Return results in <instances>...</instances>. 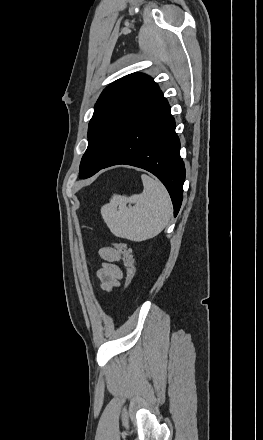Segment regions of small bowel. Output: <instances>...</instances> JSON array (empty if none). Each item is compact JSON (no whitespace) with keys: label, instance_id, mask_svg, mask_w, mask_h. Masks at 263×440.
Wrapping results in <instances>:
<instances>
[{"label":"small bowel","instance_id":"1","mask_svg":"<svg viewBox=\"0 0 263 440\" xmlns=\"http://www.w3.org/2000/svg\"><path fill=\"white\" fill-rule=\"evenodd\" d=\"M98 253L104 262L97 272V277L103 289L111 290L118 286L123 278V272L116 264L120 261L121 255L114 247H102Z\"/></svg>","mask_w":263,"mask_h":440}]
</instances>
